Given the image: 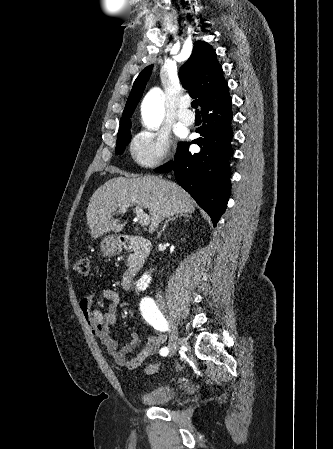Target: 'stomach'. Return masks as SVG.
I'll return each mask as SVG.
<instances>
[{
    "mask_svg": "<svg viewBox=\"0 0 333 449\" xmlns=\"http://www.w3.org/2000/svg\"><path fill=\"white\" fill-rule=\"evenodd\" d=\"M101 251L104 256H114L120 252L121 246L117 238L114 236L105 237L100 244Z\"/></svg>",
    "mask_w": 333,
    "mask_h": 449,
    "instance_id": "1",
    "label": "stomach"
}]
</instances>
